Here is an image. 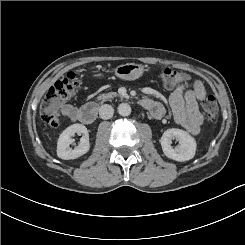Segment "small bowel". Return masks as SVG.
I'll return each mask as SVG.
<instances>
[{"instance_id":"obj_1","label":"small bowel","mask_w":245,"mask_h":245,"mask_svg":"<svg viewBox=\"0 0 245 245\" xmlns=\"http://www.w3.org/2000/svg\"><path fill=\"white\" fill-rule=\"evenodd\" d=\"M205 96L206 89L200 80L190 82L189 78L185 77L184 81L176 87L169 98L175 122L193 135L200 132L203 124L204 118L199 111L198 101ZM142 105L156 118L162 117L165 113L161 103L149 98L143 99ZM61 111L70 120H78L79 110L76 107L65 104Z\"/></svg>"}]
</instances>
